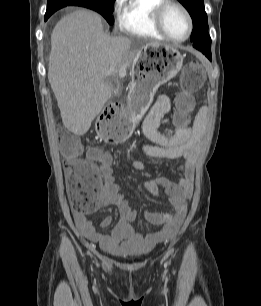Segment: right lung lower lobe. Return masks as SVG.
<instances>
[{"label":"right lung lower lobe","mask_w":261,"mask_h":306,"mask_svg":"<svg viewBox=\"0 0 261 306\" xmlns=\"http://www.w3.org/2000/svg\"><path fill=\"white\" fill-rule=\"evenodd\" d=\"M51 15H52L51 13H46V14H45V21H46Z\"/></svg>","instance_id":"1"}]
</instances>
